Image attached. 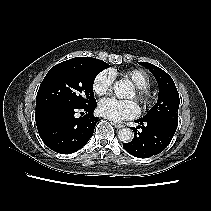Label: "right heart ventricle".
Listing matches in <instances>:
<instances>
[{
    "instance_id": "e07e8e85",
    "label": "right heart ventricle",
    "mask_w": 211,
    "mask_h": 211,
    "mask_svg": "<svg viewBox=\"0 0 211 211\" xmlns=\"http://www.w3.org/2000/svg\"><path fill=\"white\" fill-rule=\"evenodd\" d=\"M113 75L116 73L111 71ZM124 77L130 79L137 88H148L151 85V79L147 72L142 69H130L122 74Z\"/></svg>"
}]
</instances>
